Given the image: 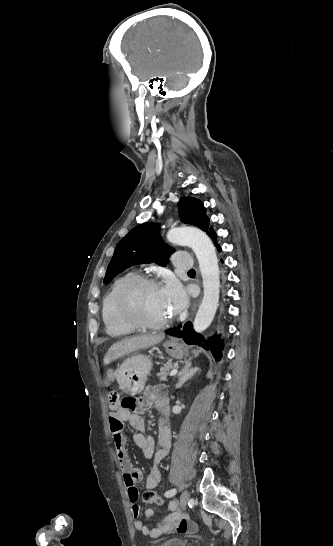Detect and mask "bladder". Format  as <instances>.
<instances>
[{
  "label": "bladder",
  "mask_w": 333,
  "mask_h": 546,
  "mask_svg": "<svg viewBox=\"0 0 333 546\" xmlns=\"http://www.w3.org/2000/svg\"><path fill=\"white\" fill-rule=\"evenodd\" d=\"M158 546H184L182 539L180 538H170L165 540Z\"/></svg>",
  "instance_id": "1"
}]
</instances>
